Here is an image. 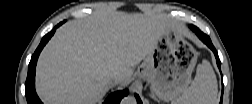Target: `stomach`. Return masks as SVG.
I'll return each instance as SVG.
<instances>
[{
  "mask_svg": "<svg viewBox=\"0 0 252 104\" xmlns=\"http://www.w3.org/2000/svg\"><path fill=\"white\" fill-rule=\"evenodd\" d=\"M197 55L193 46L170 25L143 59L137 75L149 80L159 99L175 102L191 82Z\"/></svg>",
  "mask_w": 252,
  "mask_h": 104,
  "instance_id": "1",
  "label": "stomach"
}]
</instances>
